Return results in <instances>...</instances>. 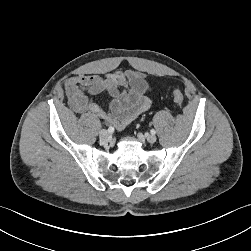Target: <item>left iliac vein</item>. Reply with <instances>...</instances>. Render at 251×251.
<instances>
[{
  "mask_svg": "<svg viewBox=\"0 0 251 251\" xmlns=\"http://www.w3.org/2000/svg\"><path fill=\"white\" fill-rule=\"evenodd\" d=\"M146 140H147V142L152 144V143H154L156 141V136L153 135V134H149V135L146 136Z\"/></svg>",
  "mask_w": 251,
  "mask_h": 251,
  "instance_id": "4c4485c4",
  "label": "left iliac vein"
}]
</instances>
